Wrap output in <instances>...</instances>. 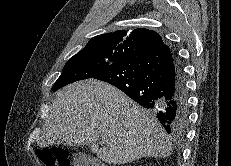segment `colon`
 <instances>
[{
  "label": "colon",
  "mask_w": 231,
  "mask_h": 166,
  "mask_svg": "<svg viewBox=\"0 0 231 166\" xmlns=\"http://www.w3.org/2000/svg\"><path fill=\"white\" fill-rule=\"evenodd\" d=\"M39 159L44 166H70L69 154L61 148H48L39 151ZM83 166H103L95 162L84 164Z\"/></svg>",
  "instance_id": "1"
}]
</instances>
